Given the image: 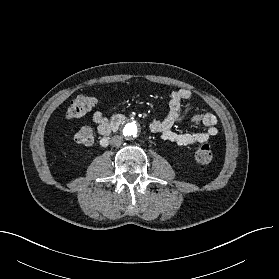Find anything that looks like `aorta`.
Segmentation results:
<instances>
[{
    "instance_id": "1",
    "label": "aorta",
    "mask_w": 279,
    "mask_h": 279,
    "mask_svg": "<svg viewBox=\"0 0 279 279\" xmlns=\"http://www.w3.org/2000/svg\"><path fill=\"white\" fill-rule=\"evenodd\" d=\"M139 132V125L135 121H128L122 127V133L126 138H134Z\"/></svg>"
}]
</instances>
